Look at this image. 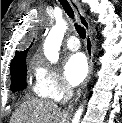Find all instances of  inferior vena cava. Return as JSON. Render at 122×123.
Segmentation results:
<instances>
[{
	"mask_svg": "<svg viewBox=\"0 0 122 123\" xmlns=\"http://www.w3.org/2000/svg\"><path fill=\"white\" fill-rule=\"evenodd\" d=\"M65 93H66L65 98L61 102L63 105L66 104L68 102V100L73 96V90H72L71 86L66 85Z\"/></svg>",
	"mask_w": 122,
	"mask_h": 123,
	"instance_id": "inferior-vena-cava-1",
	"label": "inferior vena cava"
}]
</instances>
